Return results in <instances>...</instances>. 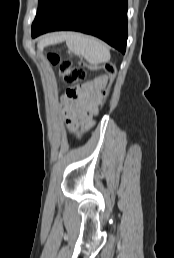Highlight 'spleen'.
<instances>
[{
	"label": "spleen",
	"mask_w": 174,
	"mask_h": 258,
	"mask_svg": "<svg viewBox=\"0 0 174 258\" xmlns=\"http://www.w3.org/2000/svg\"><path fill=\"white\" fill-rule=\"evenodd\" d=\"M66 43L72 53L84 57L92 64L107 62L110 60L108 47L99 39L85 36L80 33L65 35Z\"/></svg>",
	"instance_id": "3e777b00"
}]
</instances>
